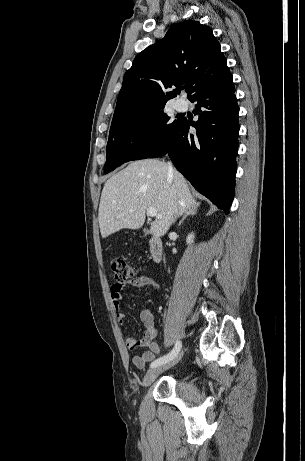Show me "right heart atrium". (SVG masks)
<instances>
[{
  "label": "right heart atrium",
  "instance_id": "d8ad5b80",
  "mask_svg": "<svg viewBox=\"0 0 305 461\" xmlns=\"http://www.w3.org/2000/svg\"><path fill=\"white\" fill-rule=\"evenodd\" d=\"M160 134L159 126L154 122H148L143 130V136L146 141H154Z\"/></svg>",
  "mask_w": 305,
  "mask_h": 461
}]
</instances>
